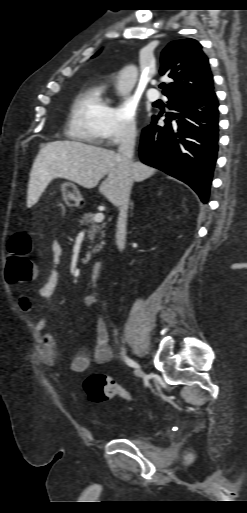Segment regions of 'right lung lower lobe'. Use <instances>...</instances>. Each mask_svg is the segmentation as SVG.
Segmentation results:
<instances>
[{"mask_svg":"<svg viewBox=\"0 0 247 513\" xmlns=\"http://www.w3.org/2000/svg\"><path fill=\"white\" fill-rule=\"evenodd\" d=\"M165 125L160 115L141 135V161L187 183L206 203L218 151V101L214 88L203 94L167 96Z\"/></svg>","mask_w":247,"mask_h":513,"instance_id":"right-lung-lower-lobe-1","label":"right lung lower lobe"}]
</instances>
